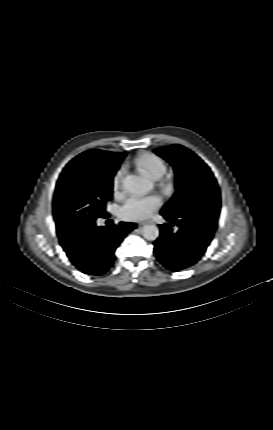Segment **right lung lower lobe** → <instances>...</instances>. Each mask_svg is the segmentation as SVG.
Returning a JSON list of instances; mask_svg holds the SVG:
<instances>
[{"mask_svg": "<svg viewBox=\"0 0 273 430\" xmlns=\"http://www.w3.org/2000/svg\"><path fill=\"white\" fill-rule=\"evenodd\" d=\"M135 228L134 223L121 222L118 226L98 227L94 222L72 238L61 241V246L81 272L100 276L111 269L116 248Z\"/></svg>", "mask_w": 273, "mask_h": 430, "instance_id": "right-lung-lower-lobe-1", "label": "right lung lower lobe"}]
</instances>
